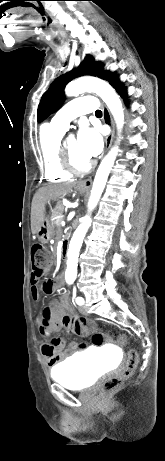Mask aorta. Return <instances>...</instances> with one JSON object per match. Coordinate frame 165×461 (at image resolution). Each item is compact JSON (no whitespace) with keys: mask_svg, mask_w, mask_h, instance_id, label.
Listing matches in <instances>:
<instances>
[{"mask_svg":"<svg viewBox=\"0 0 165 461\" xmlns=\"http://www.w3.org/2000/svg\"><path fill=\"white\" fill-rule=\"evenodd\" d=\"M84 92H94L106 103L116 122L117 129L121 131L124 124V111L121 100L114 89L104 80L95 77L79 78L69 83L65 88V94L68 97H76ZM117 151L118 146H114L103 158L96 172L88 202V215L82 218L81 224L71 238L67 251V269L65 272L67 282H73L76 279L79 251L92 221L90 214L99 202L109 173L114 165Z\"/></svg>","mask_w":165,"mask_h":461,"instance_id":"aorta-1","label":"aorta"}]
</instances>
